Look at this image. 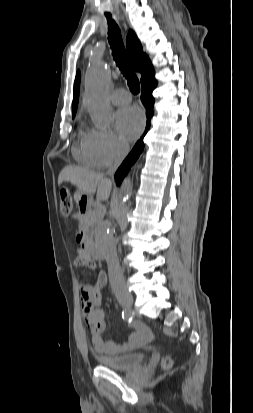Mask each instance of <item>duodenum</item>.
Here are the masks:
<instances>
[{"label":"duodenum","mask_w":253,"mask_h":413,"mask_svg":"<svg viewBox=\"0 0 253 413\" xmlns=\"http://www.w3.org/2000/svg\"><path fill=\"white\" fill-rule=\"evenodd\" d=\"M82 211L86 210V203L81 205ZM78 242L82 244L83 253L90 259L93 260H102L104 258V253L100 247L90 243L85 236L84 231H80L77 237Z\"/></svg>","instance_id":"obj_1"}]
</instances>
